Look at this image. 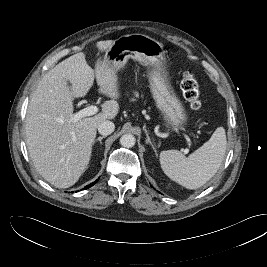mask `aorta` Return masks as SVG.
<instances>
[{"mask_svg":"<svg viewBox=\"0 0 267 267\" xmlns=\"http://www.w3.org/2000/svg\"><path fill=\"white\" fill-rule=\"evenodd\" d=\"M135 137L132 134H124L120 138V144L123 147L131 148L135 145Z\"/></svg>","mask_w":267,"mask_h":267,"instance_id":"762f6f07","label":"aorta"}]
</instances>
